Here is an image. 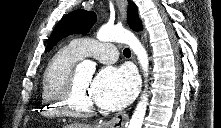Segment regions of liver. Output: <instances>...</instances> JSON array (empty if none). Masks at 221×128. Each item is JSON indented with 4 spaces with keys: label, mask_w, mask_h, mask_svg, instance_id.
<instances>
[{
    "label": "liver",
    "mask_w": 221,
    "mask_h": 128,
    "mask_svg": "<svg viewBox=\"0 0 221 128\" xmlns=\"http://www.w3.org/2000/svg\"><path fill=\"white\" fill-rule=\"evenodd\" d=\"M65 128H93L91 125L82 124V123H74L71 125H66Z\"/></svg>",
    "instance_id": "liver-1"
}]
</instances>
